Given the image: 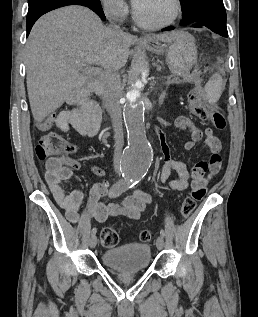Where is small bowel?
Instances as JSON below:
<instances>
[{"mask_svg": "<svg viewBox=\"0 0 258 317\" xmlns=\"http://www.w3.org/2000/svg\"><path fill=\"white\" fill-rule=\"evenodd\" d=\"M173 122L176 127L187 130L191 135L184 145L185 149L191 150L198 142L203 140L204 147L209 153V159L198 162L192 171L189 172L183 162L177 161L170 156L164 134L159 132L164 156L161 181L167 184L170 190L178 191L186 190L190 185L194 188L204 186L208 182L206 173L210 171V173L215 174L221 168V143L212 129L206 128L203 132L186 116H177L173 119ZM53 125L63 131L73 129L82 136L94 137L100 129L101 111L94 100L85 98L71 110H64L58 114L49 115L37 127L39 130L45 131ZM90 169L97 177H104L106 174L105 170L99 166H91ZM172 171L177 173V178L169 181ZM73 177L74 174L64 159L51 157L47 160L45 178L48 187L57 204L64 210L66 218L72 223H77L80 219V209L84 195L77 188H73L67 193L62 185L63 181L71 180ZM108 188L109 185L106 182H99L93 185L84 209L87 218L99 223L106 222L110 217H124L136 220L147 206L151 204V197L142 190H136L132 195L120 202L104 203L103 199L108 193Z\"/></svg>", "mask_w": 258, "mask_h": 317, "instance_id": "c3829d8e", "label": "small bowel"}]
</instances>
